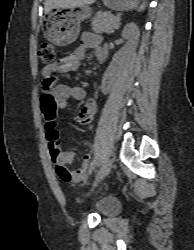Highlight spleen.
Instances as JSON below:
<instances>
[{"mask_svg": "<svg viewBox=\"0 0 194 250\" xmlns=\"http://www.w3.org/2000/svg\"><path fill=\"white\" fill-rule=\"evenodd\" d=\"M145 9V4L143 3L139 8L138 11H143Z\"/></svg>", "mask_w": 194, "mask_h": 250, "instance_id": "obj_1", "label": "spleen"}]
</instances>
